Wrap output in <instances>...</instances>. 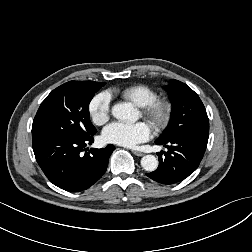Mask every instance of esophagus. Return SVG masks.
<instances>
[{
	"label": "esophagus",
	"instance_id": "1",
	"mask_svg": "<svg viewBox=\"0 0 252 252\" xmlns=\"http://www.w3.org/2000/svg\"><path fill=\"white\" fill-rule=\"evenodd\" d=\"M132 153L136 156H143L144 154L140 151H137V150H132Z\"/></svg>",
	"mask_w": 252,
	"mask_h": 252
}]
</instances>
